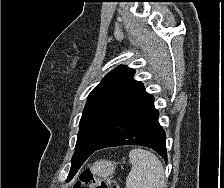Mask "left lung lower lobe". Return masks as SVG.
I'll list each match as a JSON object with an SVG mask.
<instances>
[{"instance_id": "left-lung-lower-lobe-1", "label": "left lung lower lobe", "mask_w": 224, "mask_h": 188, "mask_svg": "<svg viewBox=\"0 0 224 188\" xmlns=\"http://www.w3.org/2000/svg\"><path fill=\"white\" fill-rule=\"evenodd\" d=\"M153 102V96L148 93H145L136 100L123 113L116 125L101 143L85 158L87 159L94 151L102 148L140 145L152 148L167 160L165 147L166 135L158 123L159 113L155 109ZM86 159L80 162H72L71 170L74 166L77 167L72 174H75L76 170Z\"/></svg>"}]
</instances>
